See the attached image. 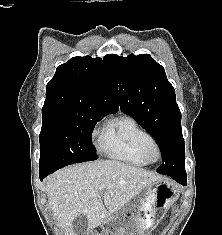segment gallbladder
Here are the masks:
<instances>
[{
  "label": "gallbladder",
  "instance_id": "obj_1",
  "mask_svg": "<svg viewBox=\"0 0 222 235\" xmlns=\"http://www.w3.org/2000/svg\"><path fill=\"white\" fill-rule=\"evenodd\" d=\"M73 227L77 235H84L83 233L86 231L87 228V220L83 216H78L74 222Z\"/></svg>",
  "mask_w": 222,
  "mask_h": 235
}]
</instances>
